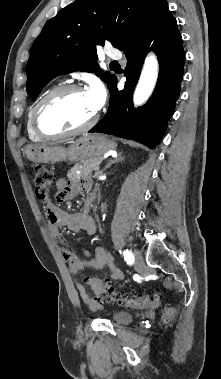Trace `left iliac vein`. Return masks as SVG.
Wrapping results in <instances>:
<instances>
[{"label": "left iliac vein", "mask_w": 221, "mask_h": 379, "mask_svg": "<svg viewBox=\"0 0 221 379\" xmlns=\"http://www.w3.org/2000/svg\"><path fill=\"white\" fill-rule=\"evenodd\" d=\"M133 255H134V267L137 271L139 272H143L144 270V260H143V257L141 255V253L134 249L133 250Z\"/></svg>", "instance_id": "1"}]
</instances>
